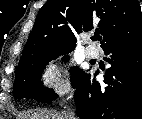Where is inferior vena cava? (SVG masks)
<instances>
[{"label": "inferior vena cava", "instance_id": "602c4592", "mask_svg": "<svg viewBox=\"0 0 142 119\" xmlns=\"http://www.w3.org/2000/svg\"><path fill=\"white\" fill-rule=\"evenodd\" d=\"M66 119H75V117H74V112H73V110L72 109H68V111H67V115H66V117H65Z\"/></svg>", "mask_w": 142, "mask_h": 119}]
</instances>
